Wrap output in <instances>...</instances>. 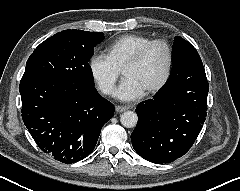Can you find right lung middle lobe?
<instances>
[{
  "instance_id": "right-lung-middle-lobe-1",
  "label": "right lung middle lobe",
  "mask_w": 240,
  "mask_h": 191,
  "mask_svg": "<svg viewBox=\"0 0 240 191\" xmlns=\"http://www.w3.org/2000/svg\"><path fill=\"white\" fill-rule=\"evenodd\" d=\"M103 33L64 30L43 41L30 55L22 78H53L94 87L89 60Z\"/></svg>"
}]
</instances>
